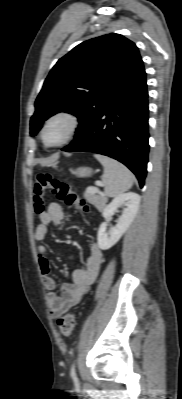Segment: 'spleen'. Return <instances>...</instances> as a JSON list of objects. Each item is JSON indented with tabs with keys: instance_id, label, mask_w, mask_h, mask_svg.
Here are the masks:
<instances>
[{
	"instance_id": "1",
	"label": "spleen",
	"mask_w": 182,
	"mask_h": 399,
	"mask_svg": "<svg viewBox=\"0 0 182 399\" xmlns=\"http://www.w3.org/2000/svg\"><path fill=\"white\" fill-rule=\"evenodd\" d=\"M95 158L104 167L102 181L107 196L115 197L132 187L134 176L127 167L103 155H95Z\"/></svg>"
}]
</instances>
